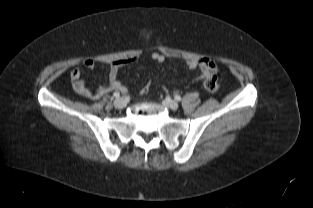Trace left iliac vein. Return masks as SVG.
Returning <instances> with one entry per match:
<instances>
[{
	"label": "left iliac vein",
	"mask_w": 313,
	"mask_h": 208,
	"mask_svg": "<svg viewBox=\"0 0 313 208\" xmlns=\"http://www.w3.org/2000/svg\"><path fill=\"white\" fill-rule=\"evenodd\" d=\"M163 104L172 110L178 109V103L171 99H166L163 101Z\"/></svg>",
	"instance_id": "obj_1"
}]
</instances>
